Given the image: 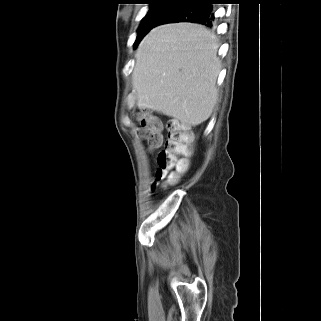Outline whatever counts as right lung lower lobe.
<instances>
[{
    "label": "right lung lower lobe",
    "instance_id": "1",
    "mask_svg": "<svg viewBox=\"0 0 321 321\" xmlns=\"http://www.w3.org/2000/svg\"><path fill=\"white\" fill-rule=\"evenodd\" d=\"M211 3L209 0H191L175 5L159 19L156 26L166 23L192 22L211 27L215 20Z\"/></svg>",
    "mask_w": 321,
    "mask_h": 321
}]
</instances>
